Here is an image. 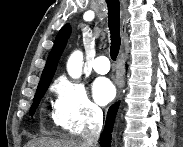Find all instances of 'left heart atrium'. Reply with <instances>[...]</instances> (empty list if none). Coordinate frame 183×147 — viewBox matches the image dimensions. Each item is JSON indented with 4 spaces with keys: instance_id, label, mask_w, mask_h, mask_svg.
I'll use <instances>...</instances> for the list:
<instances>
[{
    "instance_id": "left-heart-atrium-1",
    "label": "left heart atrium",
    "mask_w": 183,
    "mask_h": 147,
    "mask_svg": "<svg viewBox=\"0 0 183 147\" xmlns=\"http://www.w3.org/2000/svg\"><path fill=\"white\" fill-rule=\"evenodd\" d=\"M93 98L99 105L110 102L115 95V87L107 78H98L92 84Z\"/></svg>"
}]
</instances>
